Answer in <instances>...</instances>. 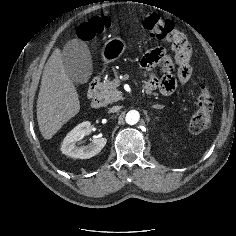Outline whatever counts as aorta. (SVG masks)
I'll return each instance as SVG.
<instances>
[{
  "mask_svg": "<svg viewBox=\"0 0 236 236\" xmlns=\"http://www.w3.org/2000/svg\"><path fill=\"white\" fill-rule=\"evenodd\" d=\"M140 119L139 112L136 110H131L126 114L125 121L129 125H135Z\"/></svg>",
  "mask_w": 236,
  "mask_h": 236,
  "instance_id": "762f6f07",
  "label": "aorta"
}]
</instances>
